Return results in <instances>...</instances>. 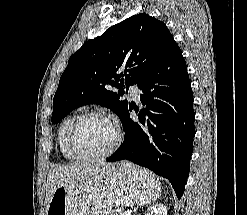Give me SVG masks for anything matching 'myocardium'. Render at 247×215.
Here are the masks:
<instances>
[{
	"mask_svg": "<svg viewBox=\"0 0 247 215\" xmlns=\"http://www.w3.org/2000/svg\"><path fill=\"white\" fill-rule=\"evenodd\" d=\"M91 118L105 120V121L111 123L115 129L114 142L106 151H104L102 153H97V154L83 153V152H80L78 150L77 145H76V132H77L79 125L83 121H85L87 119H91ZM121 141H122V132H121V129L118 126V124L112 118H110L108 115H106L100 111H89V112H85V113L77 116L73 120V122H72V124L68 130V135H67V143H68V148H69L71 155L74 158H76L77 160H83V161H99V160H104V159L110 157L118 149V147L121 144Z\"/></svg>",
	"mask_w": 247,
	"mask_h": 215,
	"instance_id": "1",
	"label": "myocardium"
}]
</instances>
